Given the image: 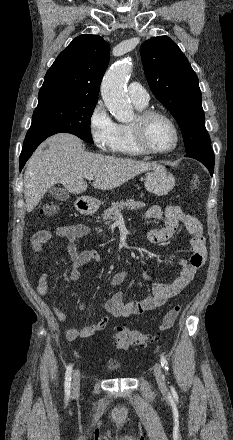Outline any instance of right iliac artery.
<instances>
[{"mask_svg": "<svg viewBox=\"0 0 233 440\" xmlns=\"http://www.w3.org/2000/svg\"><path fill=\"white\" fill-rule=\"evenodd\" d=\"M71 373H72V365H69L65 374V396L68 398L70 396L71 391Z\"/></svg>", "mask_w": 233, "mask_h": 440, "instance_id": "82829eb1", "label": "right iliac artery"}]
</instances>
